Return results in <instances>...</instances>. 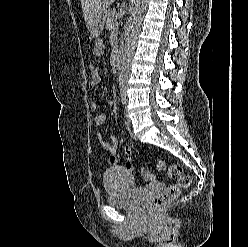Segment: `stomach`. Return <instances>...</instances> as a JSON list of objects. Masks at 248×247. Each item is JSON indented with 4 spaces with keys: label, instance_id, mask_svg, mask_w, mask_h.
<instances>
[{
    "label": "stomach",
    "instance_id": "stomach-1",
    "mask_svg": "<svg viewBox=\"0 0 248 247\" xmlns=\"http://www.w3.org/2000/svg\"><path fill=\"white\" fill-rule=\"evenodd\" d=\"M105 13L106 12L95 18L92 24L89 26V33L92 37H98L102 33L105 23Z\"/></svg>",
    "mask_w": 248,
    "mask_h": 247
}]
</instances>
